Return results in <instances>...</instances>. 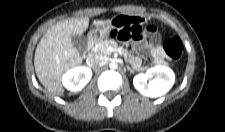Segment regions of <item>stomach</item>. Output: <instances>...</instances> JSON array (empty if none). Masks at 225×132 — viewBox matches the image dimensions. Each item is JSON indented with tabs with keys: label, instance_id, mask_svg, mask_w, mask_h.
Listing matches in <instances>:
<instances>
[{
	"label": "stomach",
	"instance_id": "obj_1",
	"mask_svg": "<svg viewBox=\"0 0 225 132\" xmlns=\"http://www.w3.org/2000/svg\"><path fill=\"white\" fill-rule=\"evenodd\" d=\"M113 28L112 24L109 23L104 26L96 27L89 32V38L92 42H99L109 37L110 31Z\"/></svg>",
	"mask_w": 225,
	"mask_h": 132
}]
</instances>
